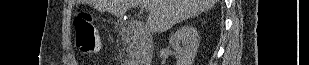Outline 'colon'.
<instances>
[{
    "instance_id": "5ec220e1",
    "label": "colon",
    "mask_w": 309,
    "mask_h": 65,
    "mask_svg": "<svg viewBox=\"0 0 309 65\" xmlns=\"http://www.w3.org/2000/svg\"><path fill=\"white\" fill-rule=\"evenodd\" d=\"M95 22V17L88 13H80L74 19L76 43L85 54H92L101 49V40Z\"/></svg>"
}]
</instances>
